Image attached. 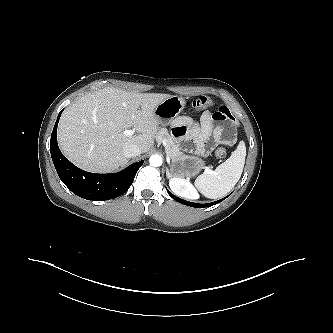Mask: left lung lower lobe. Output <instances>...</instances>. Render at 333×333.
<instances>
[{
	"label": "left lung lower lobe",
	"mask_w": 333,
	"mask_h": 333,
	"mask_svg": "<svg viewBox=\"0 0 333 333\" xmlns=\"http://www.w3.org/2000/svg\"><path fill=\"white\" fill-rule=\"evenodd\" d=\"M168 194L176 201L184 204V205H187V206H191V207H209V206H213V205H216L218 203H220L221 201H223L225 198L221 199V200H218V201H215V202H212V203H207V204H197V203H193V202H189V201H186V200H183V199H180L176 196H174L173 194H171L168 190H167Z\"/></svg>",
	"instance_id": "left-lung-lower-lobe-1"
}]
</instances>
